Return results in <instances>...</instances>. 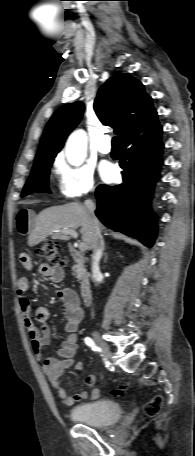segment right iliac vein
<instances>
[{
  "label": "right iliac vein",
  "instance_id": "right-iliac-vein-1",
  "mask_svg": "<svg viewBox=\"0 0 195 456\" xmlns=\"http://www.w3.org/2000/svg\"><path fill=\"white\" fill-rule=\"evenodd\" d=\"M93 339L100 347L103 355L106 358L111 359L112 354H111L110 348H109L108 344L102 340V338L100 337L98 332H96V331L93 332Z\"/></svg>",
  "mask_w": 195,
  "mask_h": 456
}]
</instances>
